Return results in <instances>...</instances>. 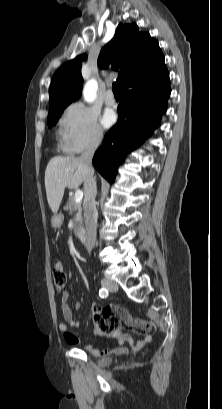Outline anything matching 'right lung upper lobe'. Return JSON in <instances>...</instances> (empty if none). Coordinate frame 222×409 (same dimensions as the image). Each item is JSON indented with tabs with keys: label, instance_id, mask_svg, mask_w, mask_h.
Wrapping results in <instances>:
<instances>
[{
	"label": "right lung upper lobe",
	"instance_id": "right-lung-upper-lobe-1",
	"mask_svg": "<svg viewBox=\"0 0 222 409\" xmlns=\"http://www.w3.org/2000/svg\"><path fill=\"white\" fill-rule=\"evenodd\" d=\"M86 58V54L80 55L56 71L50 85L49 111L67 107L80 97L81 65ZM109 64L119 71L121 92L135 79L166 68L158 42L148 32H139L135 23H119L113 39L102 48L98 66L107 68Z\"/></svg>",
	"mask_w": 222,
	"mask_h": 409
}]
</instances>
